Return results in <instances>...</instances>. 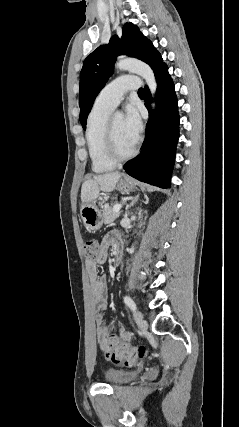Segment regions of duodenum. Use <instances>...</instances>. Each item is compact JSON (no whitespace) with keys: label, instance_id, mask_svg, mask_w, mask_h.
I'll return each mask as SVG.
<instances>
[{"label":"duodenum","instance_id":"obj_1","mask_svg":"<svg viewBox=\"0 0 239 427\" xmlns=\"http://www.w3.org/2000/svg\"><path fill=\"white\" fill-rule=\"evenodd\" d=\"M122 244L118 243L115 247V263L118 264L121 259Z\"/></svg>","mask_w":239,"mask_h":427}]
</instances>
